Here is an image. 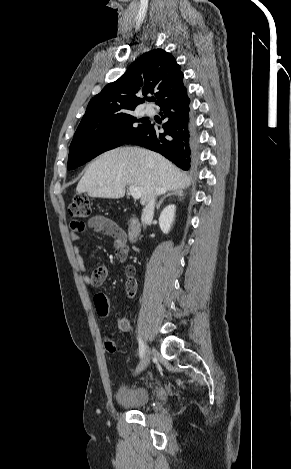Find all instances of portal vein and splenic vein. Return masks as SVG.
<instances>
[{"label":"portal vein and splenic vein","mask_w":291,"mask_h":469,"mask_svg":"<svg viewBox=\"0 0 291 469\" xmlns=\"http://www.w3.org/2000/svg\"><path fill=\"white\" fill-rule=\"evenodd\" d=\"M129 191H130V194L132 195V197L137 200L141 197L142 195V188L140 187H137V186H133L131 185L129 187Z\"/></svg>","instance_id":"1"}]
</instances>
